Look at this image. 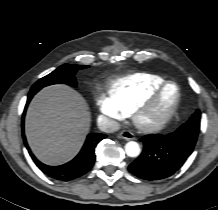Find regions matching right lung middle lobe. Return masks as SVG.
Here are the masks:
<instances>
[{"instance_id": "right-lung-middle-lobe-1", "label": "right lung middle lobe", "mask_w": 218, "mask_h": 210, "mask_svg": "<svg viewBox=\"0 0 218 210\" xmlns=\"http://www.w3.org/2000/svg\"><path fill=\"white\" fill-rule=\"evenodd\" d=\"M87 65L64 64L52 73L38 80L31 88V93L36 94L41 88L52 84H68L76 86L75 73L77 70L87 68Z\"/></svg>"}]
</instances>
